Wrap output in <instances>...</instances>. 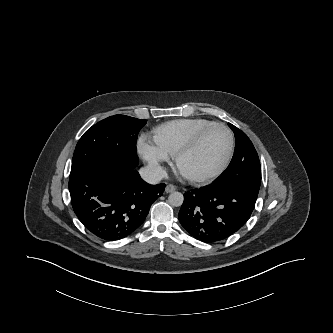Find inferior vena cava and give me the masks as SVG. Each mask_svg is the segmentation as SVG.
<instances>
[{"label": "inferior vena cava", "instance_id": "obj_1", "mask_svg": "<svg viewBox=\"0 0 333 333\" xmlns=\"http://www.w3.org/2000/svg\"><path fill=\"white\" fill-rule=\"evenodd\" d=\"M141 178L149 184H157L165 176V170L159 165H147L139 170Z\"/></svg>", "mask_w": 333, "mask_h": 333}]
</instances>
